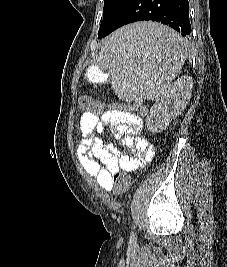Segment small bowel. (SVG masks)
<instances>
[{
  "label": "small bowel",
  "instance_id": "small-bowel-1",
  "mask_svg": "<svg viewBox=\"0 0 227 267\" xmlns=\"http://www.w3.org/2000/svg\"><path fill=\"white\" fill-rule=\"evenodd\" d=\"M107 128L122 137L121 146L104 143L100 135ZM142 130V118L122 113L121 109L108 110L101 116L91 112L80 116L76 127L79 136L77 158L84 171L94 177L102 189L113 190L112 173H119V169L133 172L153 160L154 146L139 135Z\"/></svg>",
  "mask_w": 227,
  "mask_h": 267
}]
</instances>
